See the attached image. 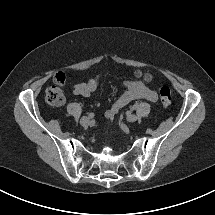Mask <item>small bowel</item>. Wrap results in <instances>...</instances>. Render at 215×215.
I'll use <instances>...</instances> for the list:
<instances>
[{
	"instance_id": "obj_1",
	"label": "small bowel",
	"mask_w": 215,
	"mask_h": 215,
	"mask_svg": "<svg viewBox=\"0 0 215 215\" xmlns=\"http://www.w3.org/2000/svg\"><path fill=\"white\" fill-rule=\"evenodd\" d=\"M102 77V74H96L86 82L75 84L72 88L73 93L83 97L91 96L96 92ZM124 86L126 91L115 101L111 109L106 112V117L113 118L114 115L133 100L142 99L155 102L158 98L157 93L148 88L142 81L127 80L124 82Z\"/></svg>"
}]
</instances>
